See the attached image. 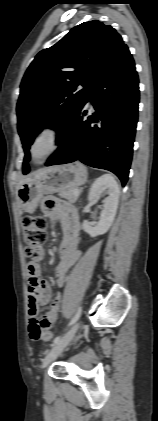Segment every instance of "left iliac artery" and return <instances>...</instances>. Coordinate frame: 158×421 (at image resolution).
<instances>
[{
	"instance_id": "obj_1",
	"label": "left iliac artery",
	"mask_w": 158,
	"mask_h": 421,
	"mask_svg": "<svg viewBox=\"0 0 158 421\" xmlns=\"http://www.w3.org/2000/svg\"><path fill=\"white\" fill-rule=\"evenodd\" d=\"M81 312H82V308L79 307L78 310H77V312H76V314H75V316L69 322L68 326L74 324L80 318ZM60 338H61V336L55 337V339L53 340V344L52 345L56 344L60 340Z\"/></svg>"
}]
</instances>
